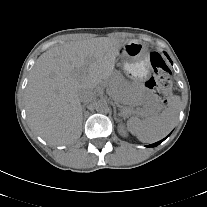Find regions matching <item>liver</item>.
Returning a JSON list of instances; mask_svg holds the SVG:
<instances>
[{"label": "liver", "instance_id": "1", "mask_svg": "<svg viewBox=\"0 0 207 207\" xmlns=\"http://www.w3.org/2000/svg\"><path fill=\"white\" fill-rule=\"evenodd\" d=\"M125 44L98 37L64 43L44 52L31 70L25 92L30 127L51 145L78 140L82 133L79 93L106 85Z\"/></svg>", "mask_w": 207, "mask_h": 207}]
</instances>
